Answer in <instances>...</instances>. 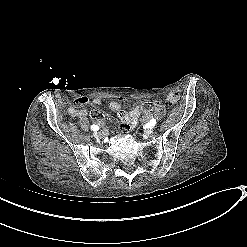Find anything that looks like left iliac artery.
<instances>
[{
	"instance_id": "left-iliac-artery-1",
	"label": "left iliac artery",
	"mask_w": 247,
	"mask_h": 247,
	"mask_svg": "<svg viewBox=\"0 0 247 247\" xmlns=\"http://www.w3.org/2000/svg\"><path fill=\"white\" fill-rule=\"evenodd\" d=\"M149 124H150V126H155V124H156V119H154V118L151 119Z\"/></svg>"
}]
</instances>
